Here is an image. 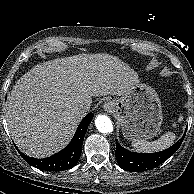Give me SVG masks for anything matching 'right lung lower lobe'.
<instances>
[{"label":"right lung lower lobe","mask_w":194,"mask_h":194,"mask_svg":"<svg viewBox=\"0 0 194 194\" xmlns=\"http://www.w3.org/2000/svg\"><path fill=\"white\" fill-rule=\"evenodd\" d=\"M92 118H93L92 113L87 114L79 124L70 144L60 152L54 154L53 156L44 159H36L20 152L21 157L28 164L40 170L63 171L66 169L73 168L77 164L81 156L84 136Z\"/></svg>","instance_id":"98d812e1"}]
</instances>
